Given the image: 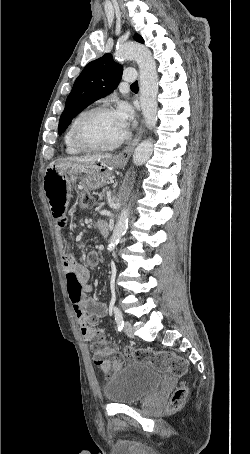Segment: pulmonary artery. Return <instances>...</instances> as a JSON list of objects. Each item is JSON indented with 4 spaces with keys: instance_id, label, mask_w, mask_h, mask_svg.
<instances>
[{
    "instance_id": "e3ab8cb5",
    "label": "pulmonary artery",
    "mask_w": 250,
    "mask_h": 454,
    "mask_svg": "<svg viewBox=\"0 0 250 454\" xmlns=\"http://www.w3.org/2000/svg\"><path fill=\"white\" fill-rule=\"evenodd\" d=\"M126 82H134L137 79V73L133 69H126L123 74Z\"/></svg>"
}]
</instances>
